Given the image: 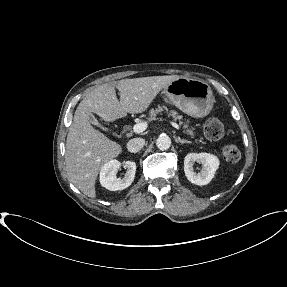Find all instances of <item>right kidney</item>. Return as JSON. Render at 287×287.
Returning <instances> with one entry per match:
<instances>
[{"label":"right kidney","mask_w":287,"mask_h":287,"mask_svg":"<svg viewBox=\"0 0 287 287\" xmlns=\"http://www.w3.org/2000/svg\"><path fill=\"white\" fill-rule=\"evenodd\" d=\"M122 163L117 160H110L103 165L100 171V183L110 191L123 190L129 187L135 177L136 164L132 161H126L123 166L127 169L124 177L117 178V172Z\"/></svg>","instance_id":"obj_1"}]
</instances>
